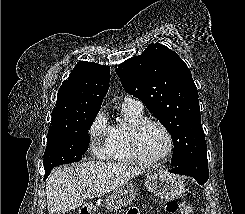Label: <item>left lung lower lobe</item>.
Instances as JSON below:
<instances>
[{"instance_id": "obj_1", "label": "left lung lower lobe", "mask_w": 245, "mask_h": 214, "mask_svg": "<svg viewBox=\"0 0 245 214\" xmlns=\"http://www.w3.org/2000/svg\"><path fill=\"white\" fill-rule=\"evenodd\" d=\"M169 172L191 176L200 185H203L209 178L207 154L196 155L182 164L175 166Z\"/></svg>"}]
</instances>
